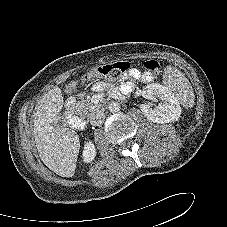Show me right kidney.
I'll list each match as a JSON object with an SVG mask.
<instances>
[{
    "mask_svg": "<svg viewBox=\"0 0 227 227\" xmlns=\"http://www.w3.org/2000/svg\"><path fill=\"white\" fill-rule=\"evenodd\" d=\"M82 156L85 163H91L94 160L96 156V148L91 141L86 142L84 145Z\"/></svg>",
    "mask_w": 227,
    "mask_h": 227,
    "instance_id": "ca27d5eb",
    "label": "right kidney"
}]
</instances>
